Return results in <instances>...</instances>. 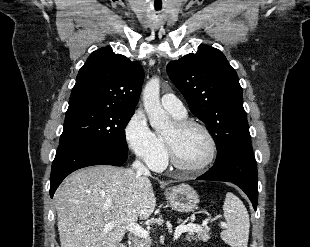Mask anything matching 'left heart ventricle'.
Segmentation results:
<instances>
[{"mask_svg": "<svg viewBox=\"0 0 310 247\" xmlns=\"http://www.w3.org/2000/svg\"><path fill=\"white\" fill-rule=\"evenodd\" d=\"M164 136L172 142L177 158L184 165L198 166L209 157L210 144L200 129L192 128L179 132L172 125Z\"/></svg>", "mask_w": 310, "mask_h": 247, "instance_id": "b2bd125f", "label": "left heart ventricle"}]
</instances>
